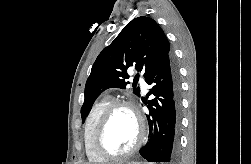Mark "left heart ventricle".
Returning a JSON list of instances; mask_svg holds the SVG:
<instances>
[{
	"mask_svg": "<svg viewBox=\"0 0 251 164\" xmlns=\"http://www.w3.org/2000/svg\"><path fill=\"white\" fill-rule=\"evenodd\" d=\"M138 137V125L127 108L117 109L111 116L103 136V146L111 153L128 151Z\"/></svg>",
	"mask_w": 251,
	"mask_h": 164,
	"instance_id": "obj_1",
	"label": "left heart ventricle"
}]
</instances>
